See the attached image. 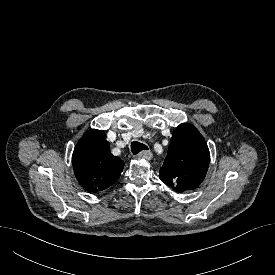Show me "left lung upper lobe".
Returning a JSON list of instances; mask_svg holds the SVG:
<instances>
[{"mask_svg":"<svg viewBox=\"0 0 275 275\" xmlns=\"http://www.w3.org/2000/svg\"><path fill=\"white\" fill-rule=\"evenodd\" d=\"M209 159L203 136L193 125L182 123L172 133L160 179L180 193L195 189L205 178Z\"/></svg>","mask_w":275,"mask_h":275,"instance_id":"obj_1","label":"left lung upper lobe"}]
</instances>
